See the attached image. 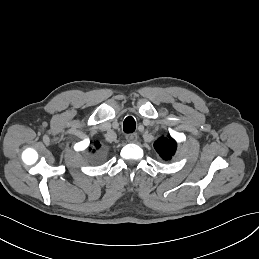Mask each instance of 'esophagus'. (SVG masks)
Segmentation results:
<instances>
[{
  "mask_svg": "<svg viewBox=\"0 0 259 259\" xmlns=\"http://www.w3.org/2000/svg\"><path fill=\"white\" fill-rule=\"evenodd\" d=\"M126 140L129 143H134L137 140V134L136 133H130V134L126 135Z\"/></svg>",
  "mask_w": 259,
  "mask_h": 259,
  "instance_id": "34e87169",
  "label": "esophagus"
}]
</instances>
